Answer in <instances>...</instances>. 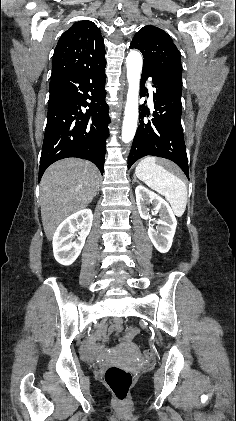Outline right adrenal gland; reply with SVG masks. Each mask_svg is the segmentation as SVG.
<instances>
[{
    "label": "right adrenal gland",
    "mask_w": 236,
    "mask_h": 421,
    "mask_svg": "<svg viewBox=\"0 0 236 421\" xmlns=\"http://www.w3.org/2000/svg\"><path fill=\"white\" fill-rule=\"evenodd\" d=\"M99 186H100V184H97L96 194H99V190H100ZM96 194H95V196H96Z\"/></svg>",
    "instance_id": "right-adrenal-gland-1"
}]
</instances>
